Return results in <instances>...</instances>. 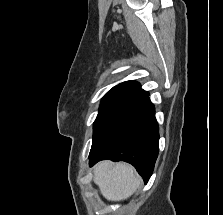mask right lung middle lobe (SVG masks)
<instances>
[{"mask_svg": "<svg viewBox=\"0 0 223 215\" xmlns=\"http://www.w3.org/2000/svg\"><path fill=\"white\" fill-rule=\"evenodd\" d=\"M146 97L126 92L106 94L101 101L98 115L93 124V152L113 128Z\"/></svg>", "mask_w": 223, "mask_h": 215, "instance_id": "1", "label": "right lung middle lobe"}]
</instances>
